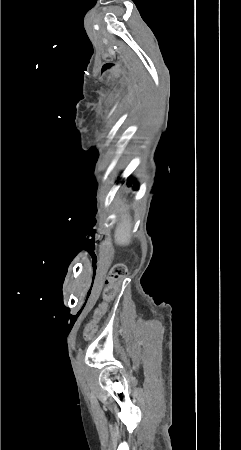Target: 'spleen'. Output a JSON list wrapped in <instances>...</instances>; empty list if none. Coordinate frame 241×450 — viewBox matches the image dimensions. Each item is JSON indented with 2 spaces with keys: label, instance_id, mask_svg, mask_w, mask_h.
Returning a JSON list of instances; mask_svg holds the SVG:
<instances>
[{
  "label": "spleen",
  "instance_id": "spleen-1",
  "mask_svg": "<svg viewBox=\"0 0 241 450\" xmlns=\"http://www.w3.org/2000/svg\"><path fill=\"white\" fill-rule=\"evenodd\" d=\"M131 226L130 216H124L115 232V240L120 246H129L131 242Z\"/></svg>",
  "mask_w": 241,
  "mask_h": 450
}]
</instances>
